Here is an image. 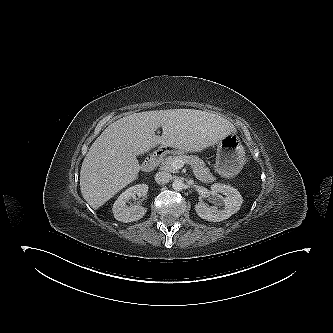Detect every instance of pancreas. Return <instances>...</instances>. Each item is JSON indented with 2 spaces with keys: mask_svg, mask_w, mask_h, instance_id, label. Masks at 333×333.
Listing matches in <instances>:
<instances>
[{
  "mask_svg": "<svg viewBox=\"0 0 333 333\" xmlns=\"http://www.w3.org/2000/svg\"><path fill=\"white\" fill-rule=\"evenodd\" d=\"M175 160H182L191 165L195 177L203 183H210L215 180L209 168H206L205 163L197 156L193 155H179L168 157L162 161V168L168 171H175L172 167V162Z\"/></svg>",
  "mask_w": 333,
  "mask_h": 333,
  "instance_id": "pancreas-1",
  "label": "pancreas"
}]
</instances>
